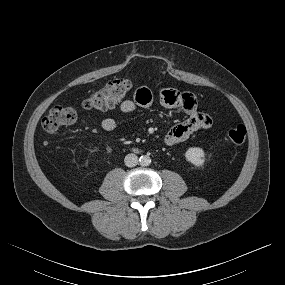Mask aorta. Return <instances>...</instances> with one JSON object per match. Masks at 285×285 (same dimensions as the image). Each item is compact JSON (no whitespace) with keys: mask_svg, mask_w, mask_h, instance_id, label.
<instances>
[{"mask_svg":"<svg viewBox=\"0 0 285 285\" xmlns=\"http://www.w3.org/2000/svg\"><path fill=\"white\" fill-rule=\"evenodd\" d=\"M139 162H140L141 166H148L151 164V158L148 155H142L139 158Z\"/></svg>","mask_w":285,"mask_h":285,"instance_id":"aorta-1","label":"aorta"}]
</instances>
